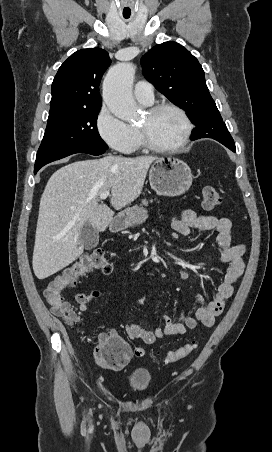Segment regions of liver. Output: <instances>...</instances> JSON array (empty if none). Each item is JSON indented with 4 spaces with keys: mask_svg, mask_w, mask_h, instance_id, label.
Returning a JSON list of instances; mask_svg holds the SVG:
<instances>
[{
    "mask_svg": "<svg viewBox=\"0 0 272 452\" xmlns=\"http://www.w3.org/2000/svg\"><path fill=\"white\" fill-rule=\"evenodd\" d=\"M155 156H105L70 163L52 174L40 199L32 266L38 279L67 267L83 253L81 228L105 231L114 212L99 204L111 190L117 210L137 199Z\"/></svg>",
    "mask_w": 272,
    "mask_h": 452,
    "instance_id": "6515ba94",
    "label": "liver"
}]
</instances>
